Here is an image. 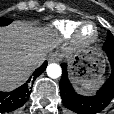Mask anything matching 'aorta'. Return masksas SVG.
Returning a JSON list of instances; mask_svg holds the SVG:
<instances>
[{
  "label": "aorta",
  "mask_w": 114,
  "mask_h": 114,
  "mask_svg": "<svg viewBox=\"0 0 114 114\" xmlns=\"http://www.w3.org/2000/svg\"><path fill=\"white\" fill-rule=\"evenodd\" d=\"M46 72L50 78L55 79L61 76L62 69L58 64L52 63L47 66Z\"/></svg>",
  "instance_id": "1"
}]
</instances>
